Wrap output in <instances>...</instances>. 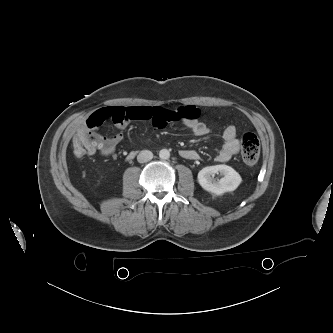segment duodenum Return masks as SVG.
Wrapping results in <instances>:
<instances>
[{"label":"duodenum","mask_w":333,"mask_h":333,"mask_svg":"<svg viewBox=\"0 0 333 333\" xmlns=\"http://www.w3.org/2000/svg\"><path fill=\"white\" fill-rule=\"evenodd\" d=\"M136 156V152H131L128 156V159H133Z\"/></svg>","instance_id":"obj_1"}]
</instances>
